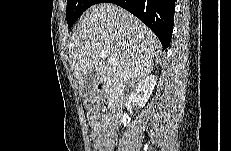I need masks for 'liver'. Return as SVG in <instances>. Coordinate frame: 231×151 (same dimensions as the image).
<instances>
[{
	"mask_svg": "<svg viewBox=\"0 0 231 151\" xmlns=\"http://www.w3.org/2000/svg\"><path fill=\"white\" fill-rule=\"evenodd\" d=\"M102 51L107 52L106 59L101 57ZM160 54L161 43L156 35L134 15L112 3L90 7L69 42V58L80 93L95 70L102 82L117 91L130 87L153 70Z\"/></svg>",
	"mask_w": 231,
	"mask_h": 151,
	"instance_id": "obj_1",
	"label": "liver"
}]
</instances>
